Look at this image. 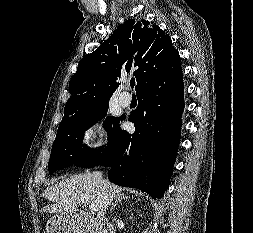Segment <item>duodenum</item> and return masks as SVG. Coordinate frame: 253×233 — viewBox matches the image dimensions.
Returning a JSON list of instances; mask_svg holds the SVG:
<instances>
[{
    "label": "duodenum",
    "mask_w": 253,
    "mask_h": 233,
    "mask_svg": "<svg viewBox=\"0 0 253 233\" xmlns=\"http://www.w3.org/2000/svg\"><path fill=\"white\" fill-rule=\"evenodd\" d=\"M106 224H88L87 225V233H108L106 230Z\"/></svg>",
    "instance_id": "obj_1"
}]
</instances>
